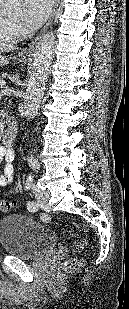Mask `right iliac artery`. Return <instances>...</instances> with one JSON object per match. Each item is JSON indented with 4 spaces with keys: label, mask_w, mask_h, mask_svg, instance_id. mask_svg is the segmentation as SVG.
I'll return each mask as SVG.
<instances>
[{
    "label": "right iliac artery",
    "mask_w": 129,
    "mask_h": 309,
    "mask_svg": "<svg viewBox=\"0 0 129 309\" xmlns=\"http://www.w3.org/2000/svg\"><path fill=\"white\" fill-rule=\"evenodd\" d=\"M32 182H33V177L31 175H29L27 180H26V186H25V188L27 190L31 188Z\"/></svg>",
    "instance_id": "right-iliac-artery-1"
}]
</instances>
